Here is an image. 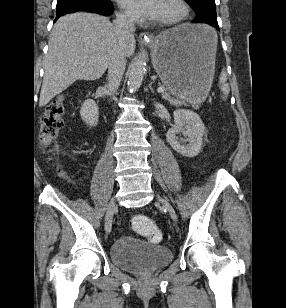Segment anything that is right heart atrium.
<instances>
[{
    "instance_id": "obj_1",
    "label": "right heart atrium",
    "mask_w": 286,
    "mask_h": 308,
    "mask_svg": "<svg viewBox=\"0 0 286 308\" xmlns=\"http://www.w3.org/2000/svg\"><path fill=\"white\" fill-rule=\"evenodd\" d=\"M119 19L124 22H135V19L126 13H120Z\"/></svg>"
}]
</instances>
